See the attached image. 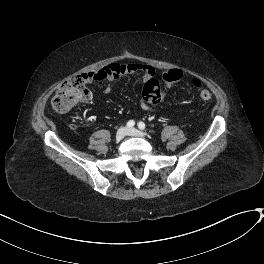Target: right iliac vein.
Instances as JSON below:
<instances>
[{"instance_id":"1","label":"right iliac vein","mask_w":264,"mask_h":264,"mask_svg":"<svg viewBox=\"0 0 264 264\" xmlns=\"http://www.w3.org/2000/svg\"><path fill=\"white\" fill-rule=\"evenodd\" d=\"M128 133V129L126 127H121L116 133V140L121 141Z\"/></svg>"}]
</instances>
